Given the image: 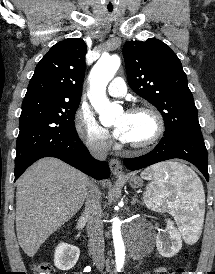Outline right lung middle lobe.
<instances>
[{"instance_id":"1","label":"right lung middle lobe","mask_w":215,"mask_h":274,"mask_svg":"<svg viewBox=\"0 0 215 274\" xmlns=\"http://www.w3.org/2000/svg\"><path fill=\"white\" fill-rule=\"evenodd\" d=\"M79 102L36 100L22 104L15 167L40 150L76 138L75 112Z\"/></svg>"}]
</instances>
